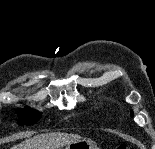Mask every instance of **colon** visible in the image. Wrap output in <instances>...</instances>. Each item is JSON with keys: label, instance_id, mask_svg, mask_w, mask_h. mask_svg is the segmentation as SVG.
<instances>
[{"label": "colon", "instance_id": "1", "mask_svg": "<svg viewBox=\"0 0 155 149\" xmlns=\"http://www.w3.org/2000/svg\"><path fill=\"white\" fill-rule=\"evenodd\" d=\"M116 149H130V146L126 143H122L118 145Z\"/></svg>", "mask_w": 155, "mask_h": 149}]
</instances>
